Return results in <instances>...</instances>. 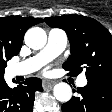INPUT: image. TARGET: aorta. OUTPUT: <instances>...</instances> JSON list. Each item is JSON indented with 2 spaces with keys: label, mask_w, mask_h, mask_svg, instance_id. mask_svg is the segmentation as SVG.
<instances>
[{
  "label": "aorta",
  "mask_w": 112,
  "mask_h": 112,
  "mask_svg": "<svg viewBox=\"0 0 112 112\" xmlns=\"http://www.w3.org/2000/svg\"><path fill=\"white\" fill-rule=\"evenodd\" d=\"M24 40L28 47L38 50L45 46L47 35L42 28L32 27L27 30ZM53 94L58 101L68 102L72 97V89L69 84L60 82L54 86Z\"/></svg>",
  "instance_id": "obj_1"
}]
</instances>
